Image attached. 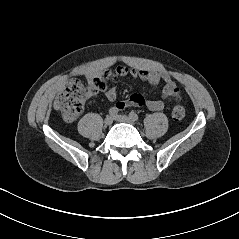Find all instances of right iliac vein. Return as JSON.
Returning <instances> with one entry per match:
<instances>
[{
	"label": "right iliac vein",
	"mask_w": 239,
	"mask_h": 239,
	"mask_svg": "<svg viewBox=\"0 0 239 239\" xmlns=\"http://www.w3.org/2000/svg\"><path fill=\"white\" fill-rule=\"evenodd\" d=\"M113 122V116L109 115L105 118L104 123L105 125H111Z\"/></svg>",
	"instance_id": "1"
}]
</instances>
